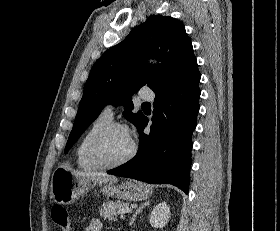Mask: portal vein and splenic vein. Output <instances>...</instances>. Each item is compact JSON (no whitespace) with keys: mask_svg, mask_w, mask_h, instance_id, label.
Returning a JSON list of instances; mask_svg holds the SVG:
<instances>
[{"mask_svg":"<svg viewBox=\"0 0 280 231\" xmlns=\"http://www.w3.org/2000/svg\"><path fill=\"white\" fill-rule=\"evenodd\" d=\"M128 211H131V209L130 207H128V205H126V207H122V209H119L117 213H128Z\"/></svg>","mask_w":280,"mask_h":231,"instance_id":"1","label":"portal vein and splenic vein"}]
</instances>
